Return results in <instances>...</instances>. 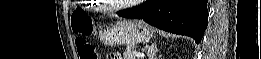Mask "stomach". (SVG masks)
Segmentation results:
<instances>
[{
	"label": "stomach",
	"instance_id": "0dacf381",
	"mask_svg": "<svg viewBox=\"0 0 261 59\" xmlns=\"http://www.w3.org/2000/svg\"><path fill=\"white\" fill-rule=\"evenodd\" d=\"M99 37L106 46H134L149 42L153 37V30L141 20H120L113 26L101 28Z\"/></svg>",
	"mask_w": 261,
	"mask_h": 59
}]
</instances>
